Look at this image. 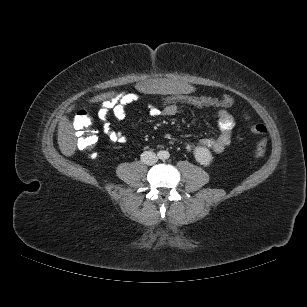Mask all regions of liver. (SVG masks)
<instances>
[{
  "label": "liver",
  "instance_id": "1",
  "mask_svg": "<svg viewBox=\"0 0 307 307\" xmlns=\"http://www.w3.org/2000/svg\"><path fill=\"white\" fill-rule=\"evenodd\" d=\"M135 88L139 92H145L147 94L166 93V94H178L181 96L196 94L198 87L196 83L189 80L177 79L175 77L168 78H146L136 83ZM113 93H106L97 95L89 101L99 102L103 99L110 98ZM74 109V105L70 106L67 112H71ZM58 144L59 148L65 156H72L76 150V138L74 136V130L67 116H63L58 124Z\"/></svg>",
  "mask_w": 307,
  "mask_h": 307
}]
</instances>
